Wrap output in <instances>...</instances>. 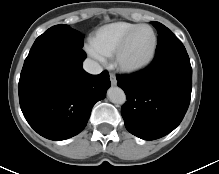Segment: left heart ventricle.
I'll return each instance as SVG.
<instances>
[{"mask_svg":"<svg viewBox=\"0 0 219 174\" xmlns=\"http://www.w3.org/2000/svg\"><path fill=\"white\" fill-rule=\"evenodd\" d=\"M153 34L150 29L142 28L138 30L129 42L123 55V60L127 63H138L144 60L152 49Z\"/></svg>","mask_w":219,"mask_h":174,"instance_id":"1","label":"left heart ventricle"}]
</instances>
